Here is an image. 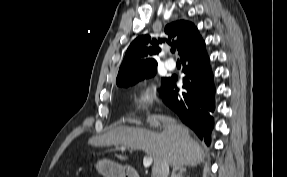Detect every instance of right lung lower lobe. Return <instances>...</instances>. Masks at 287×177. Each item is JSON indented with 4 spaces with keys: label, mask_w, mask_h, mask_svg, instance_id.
Masks as SVG:
<instances>
[{
    "label": "right lung lower lobe",
    "mask_w": 287,
    "mask_h": 177,
    "mask_svg": "<svg viewBox=\"0 0 287 177\" xmlns=\"http://www.w3.org/2000/svg\"><path fill=\"white\" fill-rule=\"evenodd\" d=\"M183 63V87L176 86L177 76L161 81V94L164 103L178 114L183 123L189 126L207 145L211 142L214 119L213 75L205 43L199 33L194 35L180 54Z\"/></svg>",
    "instance_id": "obj_1"
}]
</instances>
